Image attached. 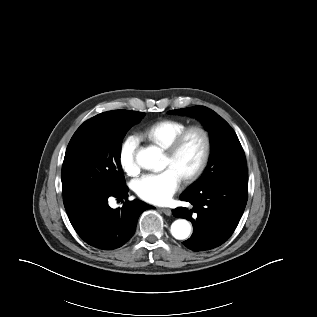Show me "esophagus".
Wrapping results in <instances>:
<instances>
[{"instance_id":"1","label":"esophagus","mask_w":317,"mask_h":317,"mask_svg":"<svg viewBox=\"0 0 317 317\" xmlns=\"http://www.w3.org/2000/svg\"><path fill=\"white\" fill-rule=\"evenodd\" d=\"M160 211L163 212L167 216H170L172 214V210L169 208H161Z\"/></svg>"}]
</instances>
